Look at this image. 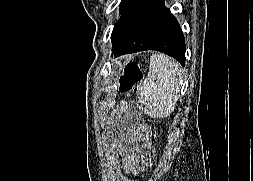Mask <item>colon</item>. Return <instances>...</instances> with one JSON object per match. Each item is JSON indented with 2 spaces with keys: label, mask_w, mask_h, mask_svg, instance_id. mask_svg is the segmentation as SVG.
Wrapping results in <instances>:
<instances>
[{
  "label": "colon",
  "mask_w": 253,
  "mask_h": 181,
  "mask_svg": "<svg viewBox=\"0 0 253 181\" xmlns=\"http://www.w3.org/2000/svg\"><path fill=\"white\" fill-rule=\"evenodd\" d=\"M141 66L136 62H129L125 65L124 74L119 81L121 91L137 90L142 80Z\"/></svg>",
  "instance_id": "obj_1"
}]
</instances>
